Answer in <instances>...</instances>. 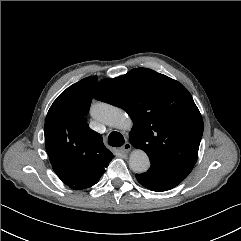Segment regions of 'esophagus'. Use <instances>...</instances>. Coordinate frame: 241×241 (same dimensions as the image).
I'll use <instances>...</instances> for the list:
<instances>
[{"instance_id":"34e87169","label":"esophagus","mask_w":241,"mask_h":241,"mask_svg":"<svg viewBox=\"0 0 241 241\" xmlns=\"http://www.w3.org/2000/svg\"><path fill=\"white\" fill-rule=\"evenodd\" d=\"M131 150V144L126 142L121 148L120 151L123 153H128Z\"/></svg>"}]
</instances>
